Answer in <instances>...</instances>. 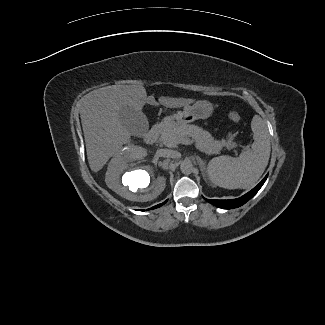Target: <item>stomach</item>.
Here are the masks:
<instances>
[{
    "mask_svg": "<svg viewBox=\"0 0 325 325\" xmlns=\"http://www.w3.org/2000/svg\"><path fill=\"white\" fill-rule=\"evenodd\" d=\"M213 113V105L208 101H198L193 105H187L182 111L164 118L168 125H179L189 123L198 119H206Z\"/></svg>",
    "mask_w": 325,
    "mask_h": 325,
    "instance_id": "stomach-1",
    "label": "stomach"
}]
</instances>
